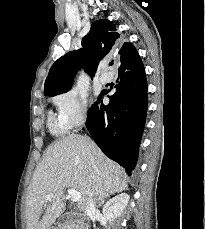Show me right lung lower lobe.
<instances>
[{"mask_svg":"<svg viewBox=\"0 0 205 229\" xmlns=\"http://www.w3.org/2000/svg\"><path fill=\"white\" fill-rule=\"evenodd\" d=\"M119 79L107 106L101 102L106 92H101L89 111L86 126L106 156L131 175L137 163L148 106L141 59L131 67L120 69Z\"/></svg>","mask_w":205,"mask_h":229,"instance_id":"98d812e1","label":"right lung lower lobe"}]
</instances>
